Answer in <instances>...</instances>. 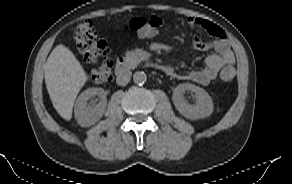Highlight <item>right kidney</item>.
<instances>
[{
  "mask_svg": "<svg viewBox=\"0 0 292 184\" xmlns=\"http://www.w3.org/2000/svg\"><path fill=\"white\" fill-rule=\"evenodd\" d=\"M95 95L100 96L102 98L101 101L98 104H88L87 101ZM106 105L105 92L102 88H88L82 92L74 107L78 124L82 127L93 125L103 116Z\"/></svg>",
  "mask_w": 292,
  "mask_h": 184,
  "instance_id": "1",
  "label": "right kidney"
}]
</instances>
